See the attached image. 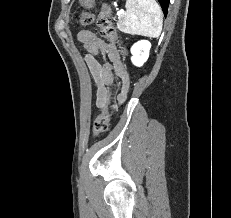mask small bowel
<instances>
[{
    "mask_svg": "<svg viewBox=\"0 0 231 218\" xmlns=\"http://www.w3.org/2000/svg\"><path fill=\"white\" fill-rule=\"evenodd\" d=\"M77 38L87 50L85 61L96 89V107L101 108L105 96L114 82L115 75L122 82L121 90L117 95L118 104H122L127 97L129 77L122 66L115 47L111 43L99 38L91 30H81ZM99 56H102L105 60L100 62Z\"/></svg>",
    "mask_w": 231,
    "mask_h": 218,
    "instance_id": "1",
    "label": "small bowel"
}]
</instances>
